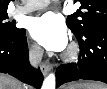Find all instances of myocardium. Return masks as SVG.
I'll list each match as a JSON object with an SVG mask.
<instances>
[{
  "label": "myocardium",
  "mask_w": 107,
  "mask_h": 89,
  "mask_svg": "<svg viewBox=\"0 0 107 89\" xmlns=\"http://www.w3.org/2000/svg\"><path fill=\"white\" fill-rule=\"evenodd\" d=\"M78 54H79V47H78L77 43L73 42L68 47L65 54L63 55V59L67 62H72L78 57Z\"/></svg>",
  "instance_id": "f54148a6"
}]
</instances>
